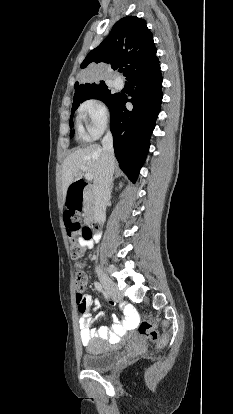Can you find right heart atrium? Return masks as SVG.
Instances as JSON below:
<instances>
[{
	"label": "right heart atrium",
	"instance_id": "d8ad5b80",
	"mask_svg": "<svg viewBox=\"0 0 233 414\" xmlns=\"http://www.w3.org/2000/svg\"><path fill=\"white\" fill-rule=\"evenodd\" d=\"M78 112L85 123L83 137L86 139L98 138L109 126L110 111L104 101L99 98L84 101Z\"/></svg>",
	"mask_w": 233,
	"mask_h": 414
}]
</instances>
